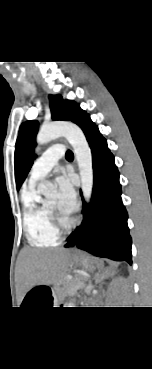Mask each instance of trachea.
<instances>
[{
	"label": "trachea",
	"mask_w": 152,
	"mask_h": 369,
	"mask_svg": "<svg viewBox=\"0 0 152 369\" xmlns=\"http://www.w3.org/2000/svg\"><path fill=\"white\" fill-rule=\"evenodd\" d=\"M65 157H66L67 159H68V158H73V153H72V151L68 150V151L66 152Z\"/></svg>",
	"instance_id": "1"
}]
</instances>
